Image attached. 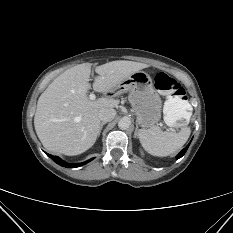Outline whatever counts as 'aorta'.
<instances>
[{"label":"aorta","instance_id":"obj_1","mask_svg":"<svg viewBox=\"0 0 233 233\" xmlns=\"http://www.w3.org/2000/svg\"><path fill=\"white\" fill-rule=\"evenodd\" d=\"M131 120L129 117H122L118 122V127L122 130H126L130 127Z\"/></svg>","mask_w":233,"mask_h":233}]
</instances>
